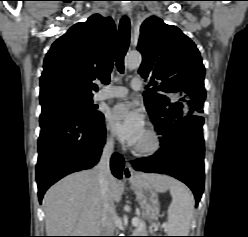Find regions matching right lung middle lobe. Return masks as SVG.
<instances>
[{
	"label": "right lung middle lobe",
	"mask_w": 248,
	"mask_h": 237,
	"mask_svg": "<svg viewBox=\"0 0 248 237\" xmlns=\"http://www.w3.org/2000/svg\"><path fill=\"white\" fill-rule=\"evenodd\" d=\"M42 106V113H70L83 118H93L101 115L92 105V99H75L70 97H60L48 101Z\"/></svg>",
	"instance_id": "right-lung-middle-lobe-1"
}]
</instances>
